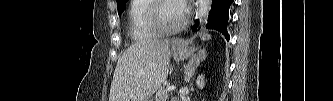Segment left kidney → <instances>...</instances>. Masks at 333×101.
Here are the masks:
<instances>
[{"label":"left kidney","instance_id":"5707ae66","mask_svg":"<svg viewBox=\"0 0 333 101\" xmlns=\"http://www.w3.org/2000/svg\"><path fill=\"white\" fill-rule=\"evenodd\" d=\"M205 76L203 74L199 75L196 80L197 87L203 89L205 86Z\"/></svg>","mask_w":333,"mask_h":101}]
</instances>
